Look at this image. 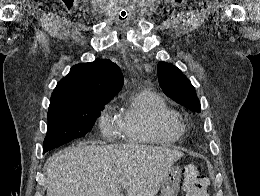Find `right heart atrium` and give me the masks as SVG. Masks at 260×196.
Instances as JSON below:
<instances>
[{"mask_svg": "<svg viewBox=\"0 0 260 196\" xmlns=\"http://www.w3.org/2000/svg\"><path fill=\"white\" fill-rule=\"evenodd\" d=\"M117 124L108 111H103L99 117V128L101 132L109 136L116 129ZM127 192H148V190H126Z\"/></svg>", "mask_w": 260, "mask_h": 196, "instance_id": "obj_1", "label": "right heart atrium"}]
</instances>
